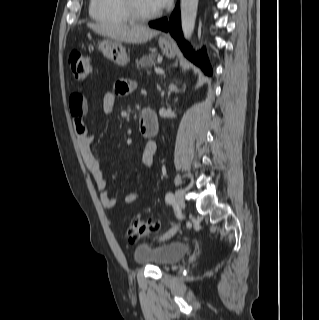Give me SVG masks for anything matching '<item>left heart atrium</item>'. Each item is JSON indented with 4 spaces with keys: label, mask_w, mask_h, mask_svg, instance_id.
Wrapping results in <instances>:
<instances>
[{
    "label": "left heart atrium",
    "mask_w": 319,
    "mask_h": 320,
    "mask_svg": "<svg viewBox=\"0 0 319 320\" xmlns=\"http://www.w3.org/2000/svg\"><path fill=\"white\" fill-rule=\"evenodd\" d=\"M156 8L159 9H164L168 7L171 3L172 0H152Z\"/></svg>",
    "instance_id": "left-heart-atrium-1"
}]
</instances>
